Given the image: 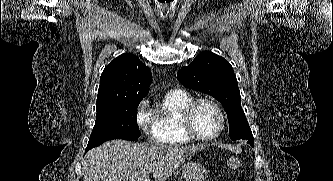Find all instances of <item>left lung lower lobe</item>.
Wrapping results in <instances>:
<instances>
[{"instance_id":"left-lung-lower-lobe-1","label":"left lung lower lobe","mask_w":333,"mask_h":181,"mask_svg":"<svg viewBox=\"0 0 333 181\" xmlns=\"http://www.w3.org/2000/svg\"><path fill=\"white\" fill-rule=\"evenodd\" d=\"M243 139H244V138H243ZM248 143L251 144L252 146H253V144H254V143H252V142H248Z\"/></svg>"}]
</instances>
